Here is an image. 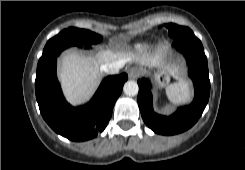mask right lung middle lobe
<instances>
[{"instance_id":"obj_1","label":"right lung middle lobe","mask_w":245,"mask_h":170,"mask_svg":"<svg viewBox=\"0 0 245 170\" xmlns=\"http://www.w3.org/2000/svg\"><path fill=\"white\" fill-rule=\"evenodd\" d=\"M101 40L102 36L89 30L70 27L61 31L58 35L51 38L47 42L41 58L46 57L58 49H63L70 46H88L91 44H96Z\"/></svg>"}]
</instances>
